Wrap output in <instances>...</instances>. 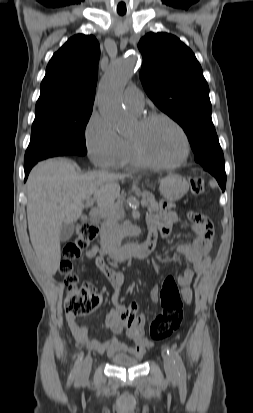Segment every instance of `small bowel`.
Masks as SVG:
<instances>
[{
  "label": "small bowel",
  "instance_id": "obj_1",
  "mask_svg": "<svg viewBox=\"0 0 253 413\" xmlns=\"http://www.w3.org/2000/svg\"><path fill=\"white\" fill-rule=\"evenodd\" d=\"M187 218L191 231L194 234V239L177 245L174 252L177 256L184 257L192 265L178 279L183 300L189 303L192 299L190 288L192 281L196 275L205 271L211 262L214 231L210 220L200 213L190 211L187 214ZM147 222L151 234L155 236L160 234L162 238L167 239L172 227L180 224L181 219L169 203L162 202L157 213H150L148 215ZM85 255L88 259L95 260L98 269L115 289V307L107 313L104 324L113 333V336L106 341L90 339L88 337V327L80 324L76 317L66 314V320L72 334L80 344L100 354L106 353L108 356L123 353L134 356L143 355L145 349L151 346L152 343L144 336L145 318L137 314V304L132 303L129 306H125L118 301L120 291L124 285L123 273L112 269L106 264L104 255L98 246L88 249ZM149 296L151 302L157 303L159 301V287L157 285L151 288ZM122 332L131 340V346H128L116 337L117 334Z\"/></svg>",
  "mask_w": 253,
  "mask_h": 413
}]
</instances>
